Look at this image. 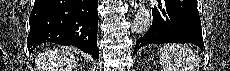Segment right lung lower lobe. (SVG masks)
I'll return each instance as SVG.
<instances>
[{
	"mask_svg": "<svg viewBox=\"0 0 230 71\" xmlns=\"http://www.w3.org/2000/svg\"><path fill=\"white\" fill-rule=\"evenodd\" d=\"M98 0H35L29 21V53L45 43L76 46L94 59L97 48Z\"/></svg>",
	"mask_w": 230,
	"mask_h": 71,
	"instance_id": "right-lung-lower-lobe-1",
	"label": "right lung lower lobe"
}]
</instances>
